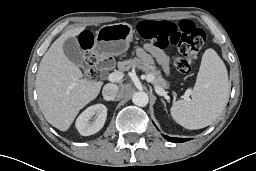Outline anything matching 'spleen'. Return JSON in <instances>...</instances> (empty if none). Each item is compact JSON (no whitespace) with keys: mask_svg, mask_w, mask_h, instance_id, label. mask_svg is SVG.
<instances>
[{"mask_svg":"<svg viewBox=\"0 0 256 171\" xmlns=\"http://www.w3.org/2000/svg\"><path fill=\"white\" fill-rule=\"evenodd\" d=\"M229 96L228 73L213 49L203 56L192 99L178 100L171 109L174 120L184 128L196 130L212 124L224 110Z\"/></svg>","mask_w":256,"mask_h":171,"instance_id":"3e777b00","label":"spleen"}]
</instances>
